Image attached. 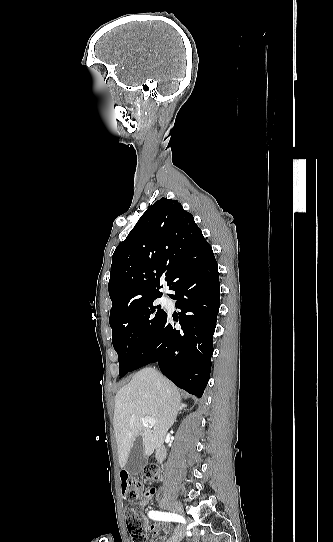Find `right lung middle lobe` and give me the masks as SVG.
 <instances>
[{
  "label": "right lung middle lobe",
  "mask_w": 333,
  "mask_h": 542,
  "mask_svg": "<svg viewBox=\"0 0 333 542\" xmlns=\"http://www.w3.org/2000/svg\"><path fill=\"white\" fill-rule=\"evenodd\" d=\"M166 315L161 306L152 301L109 320L113 347L118 354L120 377L132 371L139 357L152 346Z\"/></svg>",
  "instance_id": "right-lung-middle-lobe-1"
}]
</instances>
